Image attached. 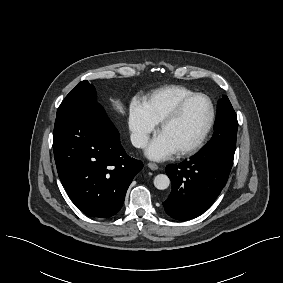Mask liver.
I'll use <instances>...</instances> for the list:
<instances>
[{"mask_svg": "<svg viewBox=\"0 0 283 283\" xmlns=\"http://www.w3.org/2000/svg\"><path fill=\"white\" fill-rule=\"evenodd\" d=\"M114 105H115L117 110H119L121 113H123V107H122V105L120 104L119 101H117V100L114 101Z\"/></svg>", "mask_w": 283, "mask_h": 283, "instance_id": "liver-1", "label": "liver"}]
</instances>
